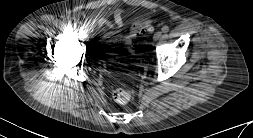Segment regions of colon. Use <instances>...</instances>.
<instances>
[{
	"label": "colon",
	"mask_w": 253,
	"mask_h": 138,
	"mask_svg": "<svg viewBox=\"0 0 253 138\" xmlns=\"http://www.w3.org/2000/svg\"><path fill=\"white\" fill-rule=\"evenodd\" d=\"M154 29L151 20H143L132 25L130 33L125 37L123 46L129 50L132 39L138 35L150 33ZM113 100L118 104H126L131 98V92L125 88H118L112 94Z\"/></svg>",
	"instance_id": "1"
}]
</instances>
